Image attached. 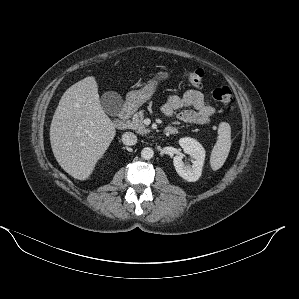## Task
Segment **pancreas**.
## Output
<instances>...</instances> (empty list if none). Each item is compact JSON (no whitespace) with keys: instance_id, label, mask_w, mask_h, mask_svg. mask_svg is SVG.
I'll return each instance as SVG.
<instances>
[{"instance_id":"1","label":"pancreas","mask_w":299,"mask_h":299,"mask_svg":"<svg viewBox=\"0 0 299 299\" xmlns=\"http://www.w3.org/2000/svg\"><path fill=\"white\" fill-rule=\"evenodd\" d=\"M144 120V111L140 110L139 112L135 113L132 117V120L128 123V127L130 129L135 130L139 134H147L150 132L149 129L143 123Z\"/></svg>"}]
</instances>
